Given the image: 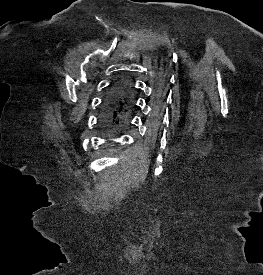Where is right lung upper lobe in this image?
<instances>
[{
	"label": "right lung upper lobe",
	"mask_w": 263,
	"mask_h": 275,
	"mask_svg": "<svg viewBox=\"0 0 263 275\" xmlns=\"http://www.w3.org/2000/svg\"><path fill=\"white\" fill-rule=\"evenodd\" d=\"M121 85L123 90L117 102L115 116H113V120L117 126H119L121 122L127 121L128 114L133 107V97L130 85L128 83H123Z\"/></svg>",
	"instance_id": "1"
}]
</instances>
